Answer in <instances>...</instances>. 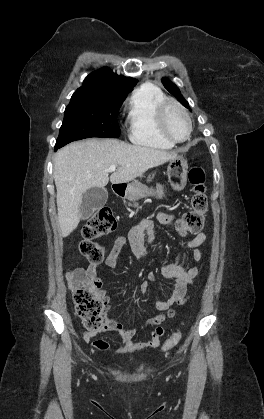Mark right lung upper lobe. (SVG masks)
I'll use <instances>...</instances> for the list:
<instances>
[{
  "instance_id": "cb5924a9",
  "label": "right lung upper lobe",
  "mask_w": 264,
  "mask_h": 419,
  "mask_svg": "<svg viewBox=\"0 0 264 419\" xmlns=\"http://www.w3.org/2000/svg\"><path fill=\"white\" fill-rule=\"evenodd\" d=\"M136 83V79L119 76L113 73L110 68L104 67L89 74L78 90L127 96Z\"/></svg>"
}]
</instances>
